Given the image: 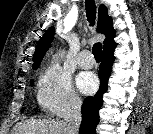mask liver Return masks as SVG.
Instances as JSON below:
<instances>
[{
	"label": "liver",
	"mask_w": 153,
	"mask_h": 134,
	"mask_svg": "<svg viewBox=\"0 0 153 134\" xmlns=\"http://www.w3.org/2000/svg\"><path fill=\"white\" fill-rule=\"evenodd\" d=\"M14 134H64L63 122L56 120H31L17 124Z\"/></svg>",
	"instance_id": "1"
}]
</instances>
